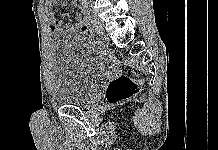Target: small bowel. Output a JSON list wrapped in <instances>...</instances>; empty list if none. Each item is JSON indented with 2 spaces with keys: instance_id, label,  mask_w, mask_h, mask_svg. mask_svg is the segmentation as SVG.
<instances>
[{
  "instance_id": "small-bowel-1",
  "label": "small bowel",
  "mask_w": 218,
  "mask_h": 150,
  "mask_svg": "<svg viewBox=\"0 0 218 150\" xmlns=\"http://www.w3.org/2000/svg\"><path fill=\"white\" fill-rule=\"evenodd\" d=\"M55 0H47L45 3V10L47 12L48 15V20H49V24H50V30L52 32H57L61 29H66V30H79L82 31V26L83 24H78V25H72L70 23H65L62 22L58 15L52 10V4ZM61 16H66V14H63ZM79 18V17H78Z\"/></svg>"
}]
</instances>
